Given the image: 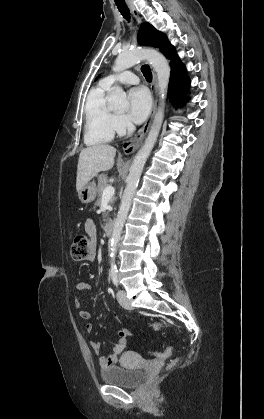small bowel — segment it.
I'll list each match as a JSON object with an SVG mask.
<instances>
[{"mask_svg": "<svg viewBox=\"0 0 264 419\" xmlns=\"http://www.w3.org/2000/svg\"><path fill=\"white\" fill-rule=\"evenodd\" d=\"M85 232L90 240V255L88 261H91L95 258L96 255V246H97V227L92 220H87L85 223ZM76 290L78 292H89L92 290V285L89 282H78L76 284ZM76 308L79 312V316L85 320L89 321L91 318V313L82 306L80 299H77L75 302ZM86 330L88 333L94 332V326L91 322L86 324ZM130 334V330L123 326L116 332V341L112 348L111 353L102 354V345L99 342L92 341L91 347L93 350L100 355V364L102 367L113 366L118 363L120 354L124 351L126 347V338Z\"/></svg>", "mask_w": 264, "mask_h": 419, "instance_id": "c3829d8e", "label": "small bowel"}]
</instances>
